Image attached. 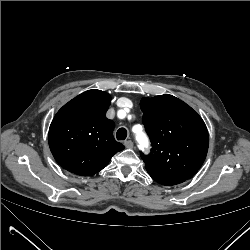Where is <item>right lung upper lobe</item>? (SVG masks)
<instances>
[{
  "mask_svg": "<svg viewBox=\"0 0 250 250\" xmlns=\"http://www.w3.org/2000/svg\"><path fill=\"white\" fill-rule=\"evenodd\" d=\"M111 97L88 90L65 104L49 128V147L67 171L91 176L107 166L112 156L124 149L113 137L115 124L106 118Z\"/></svg>",
  "mask_w": 250,
  "mask_h": 250,
  "instance_id": "cb5924a9",
  "label": "right lung upper lobe"
}]
</instances>
